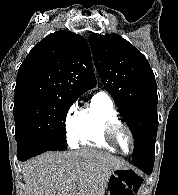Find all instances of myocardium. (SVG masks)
Returning a JSON list of instances; mask_svg holds the SVG:
<instances>
[{"label": "myocardium", "instance_id": "1", "mask_svg": "<svg viewBox=\"0 0 178 195\" xmlns=\"http://www.w3.org/2000/svg\"><path fill=\"white\" fill-rule=\"evenodd\" d=\"M120 130H125L131 139L132 146L129 152H124L122 149L119 148L117 144V141H116L117 134ZM105 138L111 146H113L118 152L122 154L128 155L134 151L135 144H136L135 135L133 131L127 125L123 124L120 121L113 122L107 126L106 131H105Z\"/></svg>", "mask_w": 178, "mask_h": 195}]
</instances>
